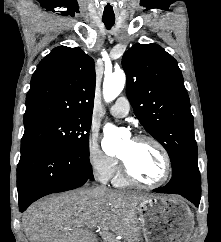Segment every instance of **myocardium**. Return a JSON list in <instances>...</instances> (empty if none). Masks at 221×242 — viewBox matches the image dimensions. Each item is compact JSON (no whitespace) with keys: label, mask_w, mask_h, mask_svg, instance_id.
Instances as JSON below:
<instances>
[{"label":"myocardium","mask_w":221,"mask_h":242,"mask_svg":"<svg viewBox=\"0 0 221 242\" xmlns=\"http://www.w3.org/2000/svg\"><path fill=\"white\" fill-rule=\"evenodd\" d=\"M134 141H148L153 143L158 150L160 151L163 160H164V172L162 177L157 180L156 182L153 183H147L142 181L141 179H139L129 168L127 162L125 161L124 158H122L121 156H119L120 162H121V169L123 171L124 176L126 177V179L133 183L136 184L138 186L144 187V188H157L161 185H163L169 178L170 174H171V168H172V164H171V158L170 155L167 151V149L165 148V146L155 137L151 136V135H147V134H141L138 135L136 137L133 138Z\"/></svg>","instance_id":"f54148a6"}]
</instances>
